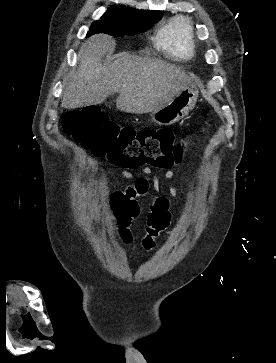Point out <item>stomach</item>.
Returning <instances> with one entry per match:
<instances>
[{
  "mask_svg": "<svg viewBox=\"0 0 276 363\" xmlns=\"http://www.w3.org/2000/svg\"><path fill=\"white\" fill-rule=\"evenodd\" d=\"M198 98V90L194 86H188L165 105L150 113L153 122L159 125H172L193 110Z\"/></svg>",
  "mask_w": 276,
  "mask_h": 363,
  "instance_id": "stomach-1",
  "label": "stomach"
}]
</instances>
